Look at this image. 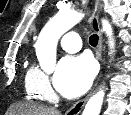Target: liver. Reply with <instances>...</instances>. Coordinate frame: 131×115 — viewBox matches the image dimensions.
<instances>
[{"label":"liver","instance_id":"6515ba94","mask_svg":"<svg viewBox=\"0 0 131 115\" xmlns=\"http://www.w3.org/2000/svg\"><path fill=\"white\" fill-rule=\"evenodd\" d=\"M9 115H60V112L33 104H15L9 110Z\"/></svg>","mask_w":131,"mask_h":115}]
</instances>
